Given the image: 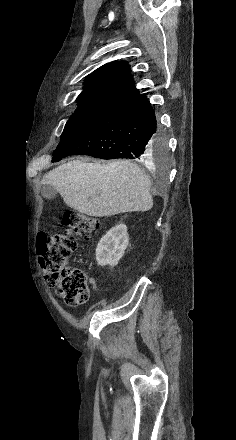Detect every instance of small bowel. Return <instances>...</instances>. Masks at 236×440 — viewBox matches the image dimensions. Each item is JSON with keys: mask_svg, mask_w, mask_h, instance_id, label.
Listing matches in <instances>:
<instances>
[{"mask_svg": "<svg viewBox=\"0 0 236 440\" xmlns=\"http://www.w3.org/2000/svg\"><path fill=\"white\" fill-rule=\"evenodd\" d=\"M90 282H91L93 288L96 289L97 286H96V282H95V280H94V279H91Z\"/></svg>", "mask_w": 236, "mask_h": 440, "instance_id": "obj_1", "label": "small bowel"}]
</instances>
